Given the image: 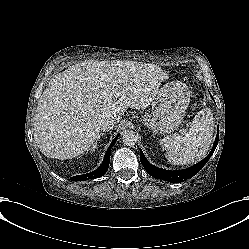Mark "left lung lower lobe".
I'll return each mask as SVG.
<instances>
[{
    "mask_svg": "<svg viewBox=\"0 0 249 249\" xmlns=\"http://www.w3.org/2000/svg\"><path fill=\"white\" fill-rule=\"evenodd\" d=\"M218 137H219V133L216 136L211 152L206 158H204L202 161L195 164L194 166L184 169V170L168 171V170H164L161 168H157L151 165L147 161L142 151L140 153V160L146 172L150 174L151 176L157 179H162V180L171 182V183L183 182L184 180L189 179L190 177H193L196 173H198L204 167V165L207 163V161L213 155L216 149V146L218 144Z\"/></svg>",
    "mask_w": 249,
    "mask_h": 249,
    "instance_id": "1",
    "label": "left lung lower lobe"
}]
</instances>
